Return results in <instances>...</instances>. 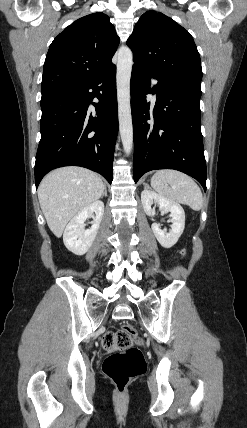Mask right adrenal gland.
<instances>
[{"label":"right adrenal gland","mask_w":247,"mask_h":428,"mask_svg":"<svg viewBox=\"0 0 247 428\" xmlns=\"http://www.w3.org/2000/svg\"><path fill=\"white\" fill-rule=\"evenodd\" d=\"M103 196H106V197H107V188H106V187H104Z\"/></svg>","instance_id":"right-adrenal-gland-1"}]
</instances>
